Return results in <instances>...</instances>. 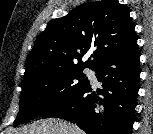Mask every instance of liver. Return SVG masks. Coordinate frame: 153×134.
I'll return each instance as SVG.
<instances>
[{"label": "liver", "mask_w": 153, "mask_h": 134, "mask_svg": "<svg viewBox=\"0 0 153 134\" xmlns=\"http://www.w3.org/2000/svg\"><path fill=\"white\" fill-rule=\"evenodd\" d=\"M16 134H84L74 124L63 120L48 119L35 122L22 130L15 131Z\"/></svg>", "instance_id": "obj_1"}]
</instances>
